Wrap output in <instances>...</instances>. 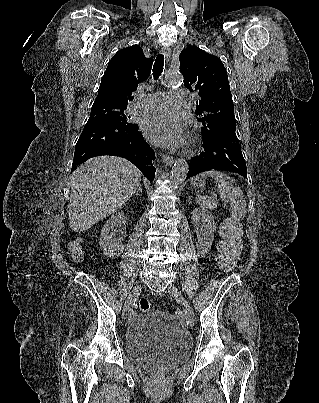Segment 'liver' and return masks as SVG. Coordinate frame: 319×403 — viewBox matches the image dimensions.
Instances as JSON below:
<instances>
[{"mask_svg":"<svg viewBox=\"0 0 319 403\" xmlns=\"http://www.w3.org/2000/svg\"><path fill=\"white\" fill-rule=\"evenodd\" d=\"M141 172L129 161L113 156L96 157L71 177L68 204L70 228L82 232L117 212L140 185Z\"/></svg>","mask_w":319,"mask_h":403,"instance_id":"liver-1","label":"liver"}]
</instances>
